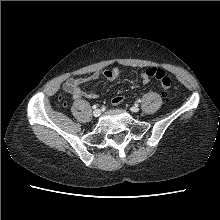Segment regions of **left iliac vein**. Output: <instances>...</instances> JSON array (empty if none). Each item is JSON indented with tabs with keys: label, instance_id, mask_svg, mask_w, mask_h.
Segmentation results:
<instances>
[{
	"label": "left iliac vein",
	"instance_id": "obj_1",
	"mask_svg": "<svg viewBox=\"0 0 220 220\" xmlns=\"http://www.w3.org/2000/svg\"><path fill=\"white\" fill-rule=\"evenodd\" d=\"M131 111L136 113V112L139 111V107L137 105H134V106L131 107Z\"/></svg>",
	"mask_w": 220,
	"mask_h": 220
}]
</instances>
